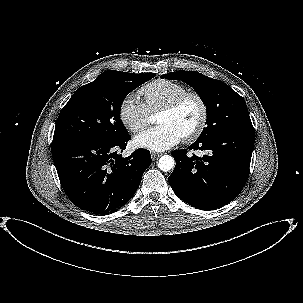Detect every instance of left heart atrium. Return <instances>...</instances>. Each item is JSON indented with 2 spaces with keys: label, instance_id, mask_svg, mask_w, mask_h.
<instances>
[{
  "label": "left heart atrium",
  "instance_id": "39dd6f15",
  "mask_svg": "<svg viewBox=\"0 0 303 303\" xmlns=\"http://www.w3.org/2000/svg\"><path fill=\"white\" fill-rule=\"evenodd\" d=\"M181 139V134L171 125L159 124L138 134L134 143L149 150L164 151L178 144Z\"/></svg>",
  "mask_w": 303,
  "mask_h": 303
}]
</instances>
